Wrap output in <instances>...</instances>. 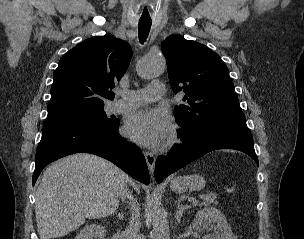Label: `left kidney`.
<instances>
[{
  "label": "left kidney",
  "instance_id": "1",
  "mask_svg": "<svg viewBox=\"0 0 304 239\" xmlns=\"http://www.w3.org/2000/svg\"><path fill=\"white\" fill-rule=\"evenodd\" d=\"M215 223L214 232L207 235V239H237L225 216L215 208H205L197 212L196 219L192 224L197 231L203 232Z\"/></svg>",
  "mask_w": 304,
  "mask_h": 239
}]
</instances>
